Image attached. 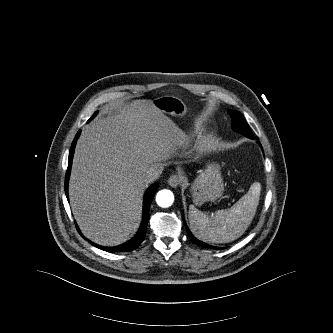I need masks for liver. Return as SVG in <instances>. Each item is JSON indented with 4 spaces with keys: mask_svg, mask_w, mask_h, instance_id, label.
<instances>
[{
    "mask_svg": "<svg viewBox=\"0 0 333 333\" xmlns=\"http://www.w3.org/2000/svg\"><path fill=\"white\" fill-rule=\"evenodd\" d=\"M176 124L151 100H135L86 126L73 158L70 204L82 233L116 246L136 232L151 165L176 154Z\"/></svg>",
    "mask_w": 333,
    "mask_h": 333,
    "instance_id": "obj_1",
    "label": "liver"
}]
</instances>
